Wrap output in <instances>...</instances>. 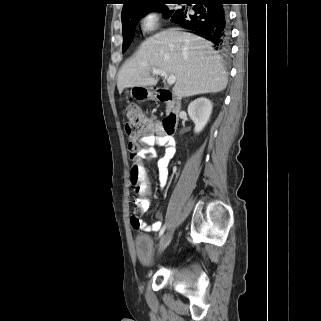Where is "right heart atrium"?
I'll return each mask as SVG.
<instances>
[{
    "label": "right heart atrium",
    "mask_w": 321,
    "mask_h": 321,
    "mask_svg": "<svg viewBox=\"0 0 321 321\" xmlns=\"http://www.w3.org/2000/svg\"><path fill=\"white\" fill-rule=\"evenodd\" d=\"M140 26L144 33H152L159 27V14L155 11L146 12L140 19Z\"/></svg>",
    "instance_id": "1"
}]
</instances>
